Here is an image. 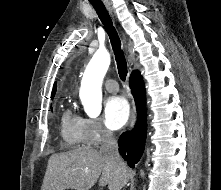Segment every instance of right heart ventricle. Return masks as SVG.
<instances>
[{
  "mask_svg": "<svg viewBox=\"0 0 221 190\" xmlns=\"http://www.w3.org/2000/svg\"><path fill=\"white\" fill-rule=\"evenodd\" d=\"M83 118L67 109L61 119V134L63 140L70 147H81L83 143L82 133Z\"/></svg>",
  "mask_w": 221,
  "mask_h": 190,
  "instance_id": "e07e8e85",
  "label": "right heart ventricle"
}]
</instances>
